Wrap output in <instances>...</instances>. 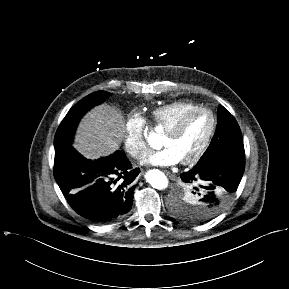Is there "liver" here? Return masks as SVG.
<instances>
[{
    "label": "liver",
    "mask_w": 289,
    "mask_h": 289,
    "mask_svg": "<svg viewBox=\"0 0 289 289\" xmlns=\"http://www.w3.org/2000/svg\"><path fill=\"white\" fill-rule=\"evenodd\" d=\"M125 133V120L118 109L101 104L88 112L80 122L74 148L85 158L97 160L114 153Z\"/></svg>",
    "instance_id": "obj_1"
}]
</instances>
